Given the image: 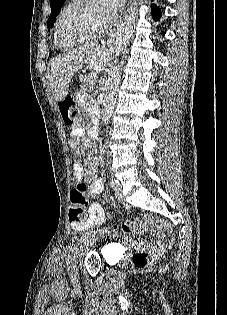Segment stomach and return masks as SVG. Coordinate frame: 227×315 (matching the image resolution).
<instances>
[{"instance_id":"1","label":"stomach","mask_w":227,"mask_h":315,"mask_svg":"<svg viewBox=\"0 0 227 315\" xmlns=\"http://www.w3.org/2000/svg\"><path fill=\"white\" fill-rule=\"evenodd\" d=\"M94 58L95 56L93 54L89 55L87 57V62L90 68L96 69L98 67V64L96 63V60Z\"/></svg>"}]
</instances>
